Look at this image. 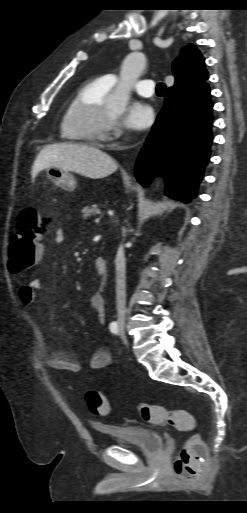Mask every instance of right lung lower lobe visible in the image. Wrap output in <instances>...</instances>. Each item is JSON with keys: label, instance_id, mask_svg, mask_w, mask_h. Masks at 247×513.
Returning <instances> with one entry per match:
<instances>
[{"label": "right lung lower lobe", "instance_id": "1", "mask_svg": "<svg viewBox=\"0 0 247 513\" xmlns=\"http://www.w3.org/2000/svg\"><path fill=\"white\" fill-rule=\"evenodd\" d=\"M212 111L207 83L192 92L168 89L138 158V182L147 187L155 174L162 173L168 196L186 202L194 198L210 155Z\"/></svg>", "mask_w": 247, "mask_h": 513}]
</instances>
